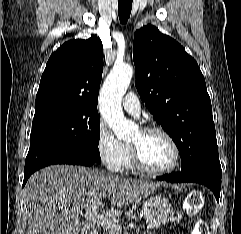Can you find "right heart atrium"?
<instances>
[{"instance_id":"d8ad5b80","label":"right heart atrium","mask_w":241,"mask_h":234,"mask_svg":"<svg viewBox=\"0 0 241 234\" xmlns=\"http://www.w3.org/2000/svg\"><path fill=\"white\" fill-rule=\"evenodd\" d=\"M96 150L102 163L112 172L121 170L124 144L119 141L112 130L100 123L96 132Z\"/></svg>"}]
</instances>
